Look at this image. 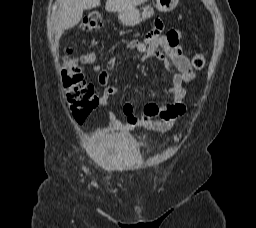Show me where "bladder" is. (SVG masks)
Listing matches in <instances>:
<instances>
[{
	"mask_svg": "<svg viewBox=\"0 0 256 228\" xmlns=\"http://www.w3.org/2000/svg\"><path fill=\"white\" fill-rule=\"evenodd\" d=\"M97 153L104 161L127 162L139 157L136 142L127 135L104 133L98 136Z\"/></svg>",
	"mask_w": 256,
	"mask_h": 228,
	"instance_id": "obj_1",
	"label": "bladder"
}]
</instances>
